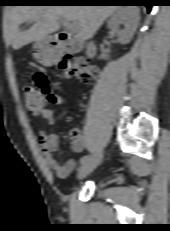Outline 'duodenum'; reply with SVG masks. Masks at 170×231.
Here are the masks:
<instances>
[{"mask_svg": "<svg viewBox=\"0 0 170 231\" xmlns=\"http://www.w3.org/2000/svg\"><path fill=\"white\" fill-rule=\"evenodd\" d=\"M56 42L59 43V48L56 50L61 53H77L82 49L88 57H94L96 54V46L93 43L83 44L79 39L71 38L67 32L60 31L55 34Z\"/></svg>", "mask_w": 170, "mask_h": 231, "instance_id": "duodenum-1", "label": "duodenum"}]
</instances>
